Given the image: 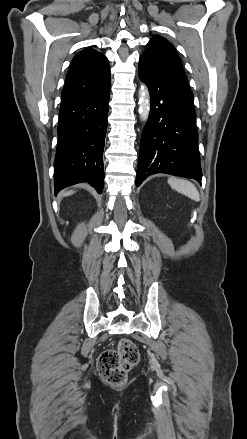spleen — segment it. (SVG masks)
Here are the masks:
<instances>
[{
	"label": "spleen",
	"instance_id": "obj_1",
	"mask_svg": "<svg viewBox=\"0 0 247 439\" xmlns=\"http://www.w3.org/2000/svg\"><path fill=\"white\" fill-rule=\"evenodd\" d=\"M168 184L172 189L177 192L189 197L194 201H200V195L193 183L185 179H179L175 177H171L168 179Z\"/></svg>",
	"mask_w": 247,
	"mask_h": 439
}]
</instances>
